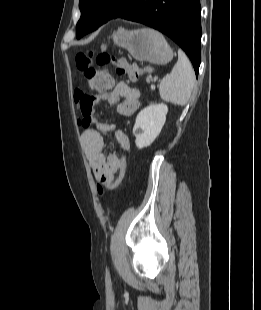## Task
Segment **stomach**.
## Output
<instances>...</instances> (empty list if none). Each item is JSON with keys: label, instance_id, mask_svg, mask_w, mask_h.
Returning <instances> with one entry per match:
<instances>
[{"label": "stomach", "instance_id": "obj_1", "mask_svg": "<svg viewBox=\"0 0 261 310\" xmlns=\"http://www.w3.org/2000/svg\"><path fill=\"white\" fill-rule=\"evenodd\" d=\"M112 38L116 45L125 48L137 61L166 64L174 56L173 50L164 37L153 29L128 31L119 28L113 33Z\"/></svg>", "mask_w": 261, "mask_h": 310}]
</instances>
